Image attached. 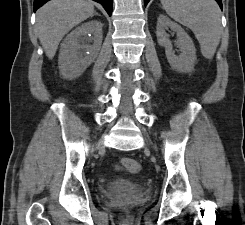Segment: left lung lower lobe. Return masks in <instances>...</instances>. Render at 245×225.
I'll list each match as a JSON object with an SVG mask.
<instances>
[{
  "label": "left lung lower lobe",
  "mask_w": 245,
  "mask_h": 225,
  "mask_svg": "<svg viewBox=\"0 0 245 225\" xmlns=\"http://www.w3.org/2000/svg\"><path fill=\"white\" fill-rule=\"evenodd\" d=\"M149 1H150V0H144L145 6L147 5V3H148ZM216 1H217V3L219 4L220 8H222V2H221V0H216Z\"/></svg>",
  "instance_id": "obj_1"
}]
</instances>
